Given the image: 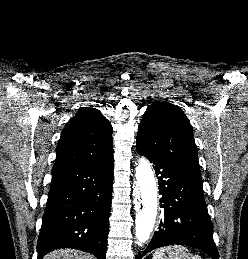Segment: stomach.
Instances as JSON below:
<instances>
[{"instance_id": "stomach-1", "label": "stomach", "mask_w": 248, "mask_h": 259, "mask_svg": "<svg viewBox=\"0 0 248 259\" xmlns=\"http://www.w3.org/2000/svg\"><path fill=\"white\" fill-rule=\"evenodd\" d=\"M166 249V259H189V255L184 251H178L173 249L172 247L165 248Z\"/></svg>"}]
</instances>
